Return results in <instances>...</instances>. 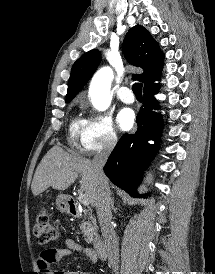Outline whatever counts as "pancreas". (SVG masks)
I'll list each match as a JSON object with an SVG mask.
<instances>
[{
  "label": "pancreas",
  "instance_id": "1",
  "mask_svg": "<svg viewBox=\"0 0 215 274\" xmlns=\"http://www.w3.org/2000/svg\"><path fill=\"white\" fill-rule=\"evenodd\" d=\"M81 230L87 243H93L98 239L96 221L92 216L87 217L84 213V220L81 222Z\"/></svg>",
  "mask_w": 215,
  "mask_h": 274
}]
</instances>
